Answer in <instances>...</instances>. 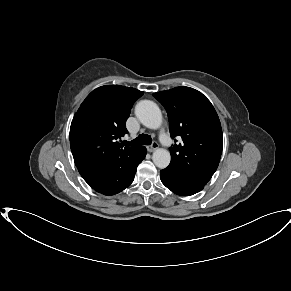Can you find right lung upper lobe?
I'll return each mask as SVG.
<instances>
[{
    "label": "right lung upper lobe",
    "instance_id": "1",
    "mask_svg": "<svg viewBox=\"0 0 291 291\" xmlns=\"http://www.w3.org/2000/svg\"><path fill=\"white\" fill-rule=\"evenodd\" d=\"M143 95L131 87L105 85L92 91L78 109L70 127V146L77 168H112L141 147L117 141L128 131L126 120L133 103Z\"/></svg>",
    "mask_w": 291,
    "mask_h": 291
}]
</instances>
